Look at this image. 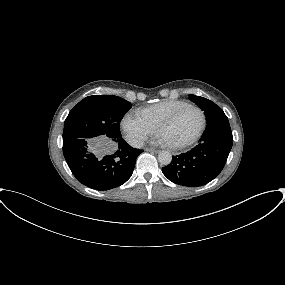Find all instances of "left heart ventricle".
<instances>
[{"label":"left heart ventricle","instance_id":"left-heart-ventricle-1","mask_svg":"<svg viewBox=\"0 0 285 285\" xmlns=\"http://www.w3.org/2000/svg\"><path fill=\"white\" fill-rule=\"evenodd\" d=\"M200 125V113L194 108H187L160 135L169 144H179L195 135Z\"/></svg>","mask_w":285,"mask_h":285}]
</instances>
